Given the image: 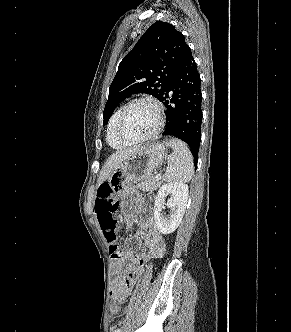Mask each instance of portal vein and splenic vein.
Listing matches in <instances>:
<instances>
[{"mask_svg":"<svg viewBox=\"0 0 291 332\" xmlns=\"http://www.w3.org/2000/svg\"><path fill=\"white\" fill-rule=\"evenodd\" d=\"M156 180H160L161 179V174L160 173H158V174H156Z\"/></svg>","mask_w":291,"mask_h":332,"instance_id":"18ae733b","label":"portal vein and splenic vein"}]
</instances>
